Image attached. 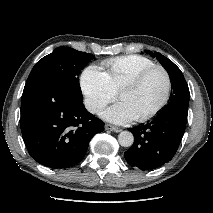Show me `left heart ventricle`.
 <instances>
[{
  "label": "left heart ventricle",
  "instance_id": "obj_1",
  "mask_svg": "<svg viewBox=\"0 0 213 213\" xmlns=\"http://www.w3.org/2000/svg\"><path fill=\"white\" fill-rule=\"evenodd\" d=\"M165 90L164 74L155 71L149 74L138 86L124 91L119 99L129 107L134 117H139L159 104Z\"/></svg>",
  "mask_w": 213,
  "mask_h": 213
}]
</instances>
